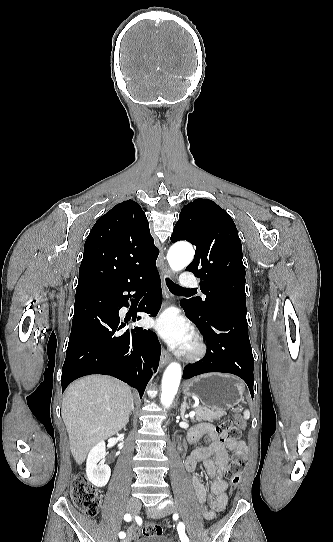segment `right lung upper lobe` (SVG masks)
<instances>
[{
    "mask_svg": "<svg viewBox=\"0 0 333 542\" xmlns=\"http://www.w3.org/2000/svg\"><path fill=\"white\" fill-rule=\"evenodd\" d=\"M91 248L109 250L117 260L106 267H80L77 287L127 284L135 277L137 259H156L159 254L146 215L132 200L117 204L99 218L85 242L84 250Z\"/></svg>",
    "mask_w": 333,
    "mask_h": 542,
    "instance_id": "1",
    "label": "right lung upper lobe"
}]
</instances>
